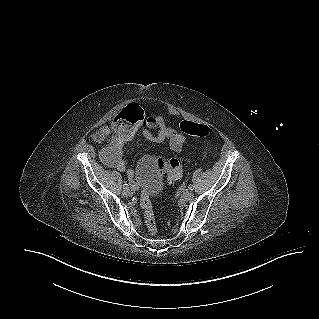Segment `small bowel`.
<instances>
[{
	"label": "small bowel",
	"mask_w": 319,
	"mask_h": 319,
	"mask_svg": "<svg viewBox=\"0 0 319 319\" xmlns=\"http://www.w3.org/2000/svg\"><path fill=\"white\" fill-rule=\"evenodd\" d=\"M124 107L120 108L117 116L107 120L101 126V137L107 143L100 151V158L106 166L131 175L127 162L123 158L125 144L138 132L147 139L158 142L156 130L165 122L160 115L148 114L137 101H126ZM182 148L171 149L180 152Z\"/></svg>",
	"instance_id": "small-bowel-1"
}]
</instances>
